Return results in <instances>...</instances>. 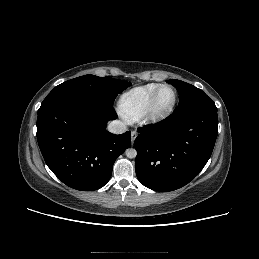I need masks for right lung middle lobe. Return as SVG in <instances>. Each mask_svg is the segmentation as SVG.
<instances>
[{"label": "right lung middle lobe", "instance_id": "dd1d6c3e", "mask_svg": "<svg viewBox=\"0 0 259 259\" xmlns=\"http://www.w3.org/2000/svg\"><path fill=\"white\" fill-rule=\"evenodd\" d=\"M131 83L111 77L84 75L68 80L55 87L41 106L63 97H82L101 105L112 107L116 96Z\"/></svg>", "mask_w": 259, "mask_h": 259}]
</instances>
